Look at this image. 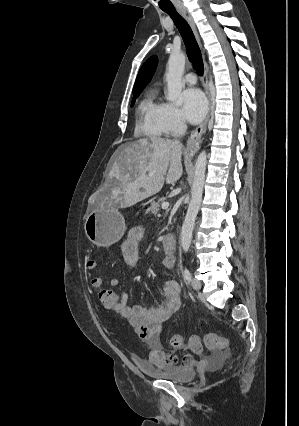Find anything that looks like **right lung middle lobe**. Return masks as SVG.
<instances>
[{"label":"right lung middle lobe","instance_id":"dd1d6c3e","mask_svg":"<svg viewBox=\"0 0 299 426\" xmlns=\"http://www.w3.org/2000/svg\"><path fill=\"white\" fill-rule=\"evenodd\" d=\"M141 93V91H138V92H133V100H132V103H131V106H133L134 105V103H135V99L139 96V94Z\"/></svg>","mask_w":299,"mask_h":426}]
</instances>
